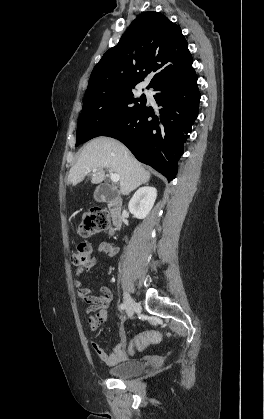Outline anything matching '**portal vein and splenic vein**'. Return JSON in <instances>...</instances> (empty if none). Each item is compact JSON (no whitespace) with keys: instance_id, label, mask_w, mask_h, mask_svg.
Segmentation results:
<instances>
[{"instance_id":"1","label":"portal vein and splenic vein","mask_w":264,"mask_h":419,"mask_svg":"<svg viewBox=\"0 0 264 419\" xmlns=\"http://www.w3.org/2000/svg\"><path fill=\"white\" fill-rule=\"evenodd\" d=\"M92 171L93 172H96V169H93ZM109 173H110V178H111V181L112 182H114V183L119 182L120 178H119V175L118 174L113 173L112 170H109Z\"/></svg>"}]
</instances>
